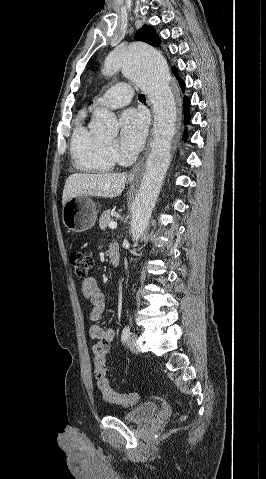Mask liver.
I'll list each match as a JSON object with an SVG mask.
<instances>
[{
	"instance_id": "6515ba94",
	"label": "liver",
	"mask_w": 266,
	"mask_h": 479,
	"mask_svg": "<svg viewBox=\"0 0 266 479\" xmlns=\"http://www.w3.org/2000/svg\"><path fill=\"white\" fill-rule=\"evenodd\" d=\"M126 179V173L71 174L64 186L62 204L64 205L69 199L81 195L117 197L124 190Z\"/></svg>"
}]
</instances>
